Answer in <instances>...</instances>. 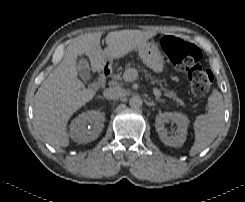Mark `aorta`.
I'll return each mask as SVG.
<instances>
[{"mask_svg": "<svg viewBox=\"0 0 245 202\" xmlns=\"http://www.w3.org/2000/svg\"><path fill=\"white\" fill-rule=\"evenodd\" d=\"M142 104H143V101L140 96L135 95L129 99V105L131 108L139 109L142 106Z\"/></svg>", "mask_w": 245, "mask_h": 202, "instance_id": "obj_1", "label": "aorta"}]
</instances>
